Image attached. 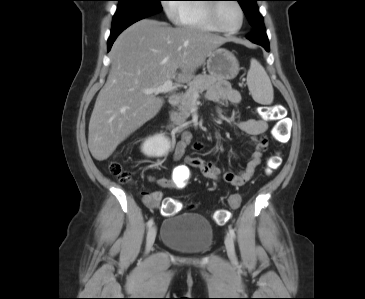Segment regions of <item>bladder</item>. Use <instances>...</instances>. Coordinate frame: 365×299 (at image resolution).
I'll return each instance as SVG.
<instances>
[{"label": "bladder", "instance_id": "1", "mask_svg": "<svg viewBox=\"0 0 365 299\" xmlns=\"http://www.w3.org/2000/svg\"><path fill=\"white\" fill-rule=\"evenodd\" d=\"M160 241L176 252L188 255L207 253L214 243V231L201 214L182 213L165 219Z\"/></svg>", "mask_w": 365, "mask_h": 299}]
</instances>
